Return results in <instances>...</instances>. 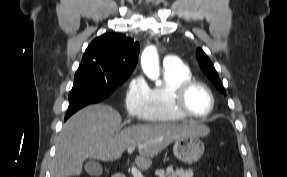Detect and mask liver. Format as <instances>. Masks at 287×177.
Listing matches in <instances>:
<instances>
[{
  "instance_id": "6515ba94",
  "label": "liver",
  "mask_w": 287,
  "mask_h": 177,
  "mask_svg": "<svg viewBox=\"0 0 287 177\" xmlns=\"http://www.w3.org/2000/svg\"><path fill=\"white\" fill-rule=\"evenodd\" d=\"M210 129L196 122L183 124H141L121 130V116L104 104L88 106L63 125L56 145L53 177L78 176L88 158L113 161L123 152L138 146L136 165L143 170L172 142L187 136H206Z\"/></svg>"
}]
</instances>
